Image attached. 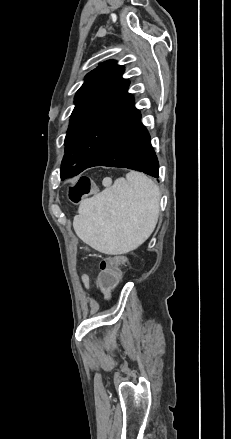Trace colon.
Masks as SVG:
<instances>
[{"label": "colon", "instance_id": "1", "mask_svg": "<svg viewBox=\"0 0 231 439\" xmlns=\"http://www.w3.org/2000/svg\"><path fill=\"white\" fill-rule=\"evenodd\" d=\"M92 192V181L89 177L82 176L69 190V199L78 204ZM127 258L124 255H114L103 258L99 263L100 273L97 275L99 288L103 296H111L116 285H120L121 267L126 265Z\"/></svg>", "mask_w": 231, "mask_h": 439}]
</instances>
